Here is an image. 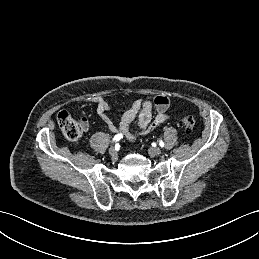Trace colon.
Instances as JSON below:
<instances>
[{"label": "colon", "instance_id": "obj_1", "mask_svg": "<svg viewBox=\"0 0 259 259\" xmlns=\"http://www.w3.org/2000/svg\"><path fill=\"white\" fill-rule=\"evenodd\" d=\"M57 122L62 134L68 141H77L82 136L81 126L67 112H60ZM180 124L186 133H191L195 126V119L192 116H186Z\"/></svg>", "mask_w": 259, "mask_h": 259}]
</instances>
